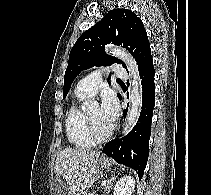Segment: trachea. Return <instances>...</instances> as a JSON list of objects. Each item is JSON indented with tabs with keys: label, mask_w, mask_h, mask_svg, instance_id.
<instances>
[{
	"label": "trachea",
	"mask_w": 211,
	"mask_h": 195,
	"mask_svg": "<svg viewBox=\"0 0 211 195\" xmlns=\"http://www.w3.org/2000/svg\"><path fill=\"white\" fill-rule=\"evenodd\" d=\"M117 82H122L120 79H117Z\"/></svg>",
	"instance_id": "1"
}]
</instances>
